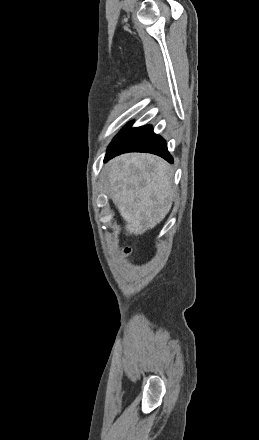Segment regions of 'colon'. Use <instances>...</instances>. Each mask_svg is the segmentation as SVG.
<instances>
[{
    "instance_id": "1",
    "label": "colon",
    "mask_w": 259,
    "mask_h": 440,
    "mask_svg": "<svg viewBox=\"0 0 259 440\" xmlns=\"http://www.w3.org/2000/svg\"><path fill=\"white\" fill-rule=\"evenodd\" d=\"M124 252H125L126 254H129V253L131 252V250H130V248H125Z\"/></svg>"
}]
</instances>
